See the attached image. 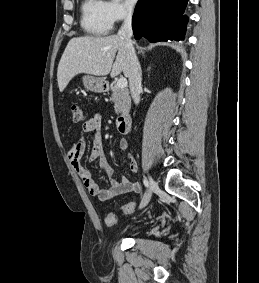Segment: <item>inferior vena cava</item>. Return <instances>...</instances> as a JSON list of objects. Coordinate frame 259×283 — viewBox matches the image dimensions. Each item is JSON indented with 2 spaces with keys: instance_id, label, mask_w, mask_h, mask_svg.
<instances>
[{
  "instance_id": "obj_1",
  "label": "inferior vena cava",
  "mask_w": 259,
  "mask_h": 283,
  "mask_svg": "<svg viewBox=\"0 0 259 283\" xmlns=\"http://www.w3.org/2000/svg\"><path fill=\"white\" fill-rule=\"evenodd\" d=\"M118 35L122 37L127 45L129 54V86L131 96L135 104L140 102V91H141V81L142 72L139 61L137 59L135 49L131 37L133 35L132 31V9H125V17L122 27L120 28Z\"/></svg>"
}]
</instances>
